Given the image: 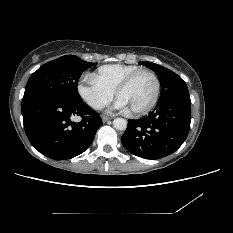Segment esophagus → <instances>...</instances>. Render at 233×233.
Listing matches in <instances>:
<instances>
[{
	"instance_id": "1",
	"label": "esophagus",
	"mask_w": 233,
	"mask_h": 233,
	"mask_svg": "<svg viewBox=\"0 0 233 233\" xmlns=\"http://www.w3.org/2000/svg\"><path fill=\"white\" fill-rule=\"evenodd\" d=\"M112 118H110V117H107V116H102V121L103 122H107V121H109V120H111Z\"/></svg>"
}]
</instances>
